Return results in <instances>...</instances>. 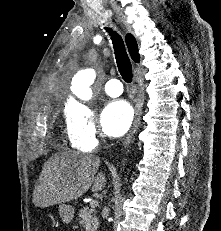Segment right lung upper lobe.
Returning a JSON list of instances; mask_svg holds the SVG:
<instances>
[{
  "instance_id": "obj_1",
  "label": "right lung upper lobe",
  "mask_w": 221,
  "mask_h": 231,
  "mask_svg": "<svg viewBox=\"0 0 221 231\" xmlns=\"http://www.w3.org/2000/svg\"><path fill=\"white\" fill-rule=\"evenodd\" d=\"M126 44H127V47H128V50H129V53L132 59L135 62H139L140 55L138 53V46H137L136 40L133 37V35L131 34L126 35Z\"/></svg>"
}]
</instances>
